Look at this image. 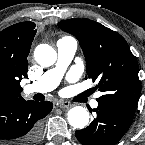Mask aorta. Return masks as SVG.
Returning a JSON list of instances; mask_svg holds the SVG:
<instances>
[{
    "instance_id": "obj_1",
    "label": "aorta",
    "mask_w": 145,
    "mask_h": 145,
    "mask_svg": "<svg viewBox=\"0 0 145 145\" xmlns=\"http://www.w3.org/2000/svg\"><path fill=\"white\" fill-rule=\"evenodd\" d=\"M34 57L41 66H52L56 59V51L48 44H40L35 48ZM68 122L74 128L82 129L89 122V113L82 106H75L71 108L68 113Z\"/></svg>"
}]
</instances>
